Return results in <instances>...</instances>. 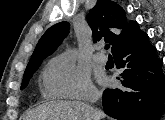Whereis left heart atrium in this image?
<instances>
[{
    "label": "left heart atrium",
    "mask_w": 165,
    "mask_h": 120,
    "mask_svg": "<svg viewBox=\"0 0 165 120\" xmlns=\"http://www.w3.org/2000/svg\"><path fill=\"white\" fill-rule=\"evenodd\" d=\"M101 81H102V82H105V79H104V78H102V79H101Z\"/></svg>",
    "instance_id": "obj_1"
}]
</instances>
